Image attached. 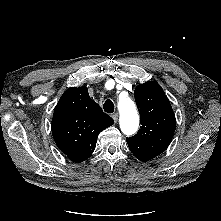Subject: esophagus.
Here are the masks:
<instances>
[{"label":"esophagus","mask_w":221,"mask_h":221,"mask_svg":"<svg viewBox=\"0 0 221 221\" xmlns=\"http://www.w3.org/2000/svg\"><path fill=\"white\" fill-rule=\"evenodd\" d=\"M112 118L115 122H117L118 121V113H113Z\"/></svg>","instance_id":"1"}]
</instances>
